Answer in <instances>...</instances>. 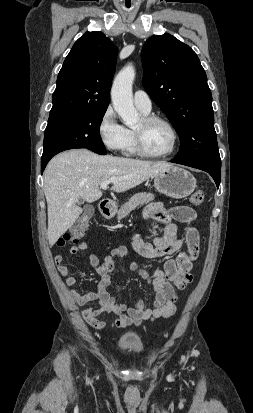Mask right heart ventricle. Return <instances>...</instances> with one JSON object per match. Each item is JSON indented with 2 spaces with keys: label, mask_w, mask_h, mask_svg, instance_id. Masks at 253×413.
I'll return each mask as SVG.
<instances>
[{
  "label": "right heart ventricle",
  "mask_w": 253,
  "mask_h": 413,
  "mask_svg": "<svg viewBox=\"0 0 253 413\" xmlns=\"http://www.w3.org/2000/svg\"><path fill=\"white\" fill-rule=\"evenodd\" d=\"M144 114H147V113H144ZM128 135H129V139H128V144L125 148V152L130 155H135L138 152L136 150L134 131L132 129H128Z\"/></svg>",
  "instance_id": "obj_1"
}]
</instances>
